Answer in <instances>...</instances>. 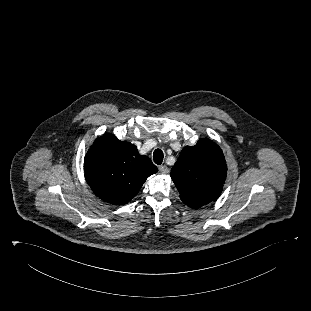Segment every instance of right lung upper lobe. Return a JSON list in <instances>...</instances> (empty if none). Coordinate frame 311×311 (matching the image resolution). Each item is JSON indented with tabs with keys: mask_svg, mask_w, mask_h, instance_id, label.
Here are the masks:
<instances>
[{
	"mask_svg": "<svg viewBox=\"0 0 311 311\" xmlns=\"http://www.w3.org/2000/svg\"><path fill=\"white\" fill-rule=\"evenodd\" d=\"M150 158L134 144L104 134L95 140L84 160L85 178L100 199L124 205L134 198L145 180L157 172Z\"/></svg>",
	"mask_w": 311,
	"mask_h": 311,
	"instance_id": "1",
	"label": "right lung upper lobe"
}]
</instances>
